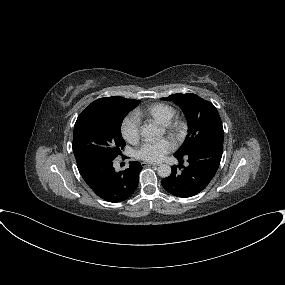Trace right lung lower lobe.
Wrapping results in <instances>:
<instances>
[{"mask_svg": "<svg viewBox=\"0 0 285 285\" xmlns=\"http://www.w3.org/2000/svg\"><path fill=\"white\" fill-rule=\"evenodd\" d=\"M76 162L87 185L108 202L128 199L138 186V176L142 170L140 162L132 161L128 169L119 172L115 171L111 159L90 157Z\"/></svg>", "mask_w": 285, "mask_h": 285, "instance_id": "obj_1", "label": "right lung lower lobe"}]
</instances>
